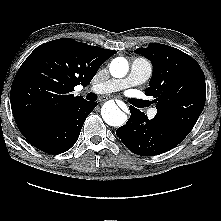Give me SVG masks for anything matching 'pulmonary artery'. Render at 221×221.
<instances>
[{
	"label": "pulmonary artery",
	"instance_id": "e3ab8cb5",
	"mask_svg": "<svg viewBox=\"0 0 221 221\" xmlns=\"http://www.w3.org/2000/svg\"><path fill=\"white\" fill-rule=\"evenodd\" d=\"M152 74V65L144 58L137 57L133 60L129 74L120 79H110L104 83L91 87L96 93H108L120 91L132 86L146 82ZM156 115V110H152L150 117Z\"/></svg>",
	"mask_w": 221,
	"mask_h": 221
}]
</instances>
